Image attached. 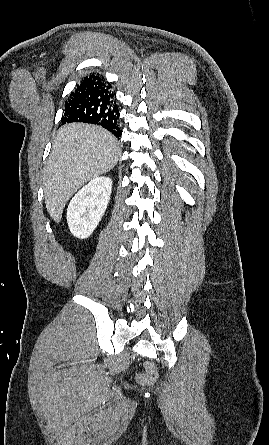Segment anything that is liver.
<instances>
[{
  "mask_svg": "<svg viewBox=\"0 0 269 445\" xmlns=\"http://www.w3.org/2000/svg\"><path fill=\"white\" fill-rule=\"evenodd\" d=\"M119 155L116 138L101 127L84 123L61 127L43 173L45 204L51 218L59 223L73 194L114 168Z\"/></svg>",
  "mask_w": 269,
  "mask_h": 445,
  "instance_id": "6515ba94",
  "label": "liver"
}]
</instances>
